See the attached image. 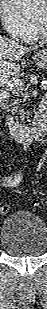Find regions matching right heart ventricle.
<instances>
[{
  "mask_svg": "<svg viewBox=\"0 0 47 309\" xmlns=\"http://www.w3.org/2000/svg\"><path fill=\"white\" fill-rule=\"evenodd\" d=\"M38 37V35L36 34V31L34 29L33 33L31 34V36L26 40V41H33Z\"/></svg>",
  "mask_w": 47,
  "mask_h": 309,
  "instance_id": "obj_1",
  "label": "right heart ventricle"
}]
</instances>
